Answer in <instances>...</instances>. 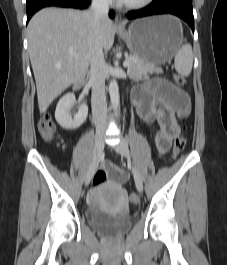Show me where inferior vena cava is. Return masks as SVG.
I'll return each instance as SVG.
<instances>
[{
	"mask_svg": "<svg viewBox=\"0 0 227 265\" xmlns=\"http://www.w3.org/2000/svg\"><path fill=\"white\" fill-rule=\"evenodd\" d=\"M91 11L96 22L107 19L109 0H92ZM106 67L102 47L96 42L90 61V82L92 85V115L97 133L104 132L107 127Z\"/></svg>",
	"mask_w": 227,
	"mask_h": 265,
	"instance_id": "1",
	"label": "inferior vena cava"
}]
</instances>
